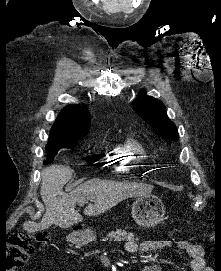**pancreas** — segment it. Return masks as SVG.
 Masks as SVG:
<instances>
[{"label": "pancreas", "mask_w": 221, "mask_h": 271, "mask_svg": "<svg viewBox=\"0 0 221 271\" xmlns=\"http://www.w3.org/2000/svg\"><path fill=\"white\" fill-rule=\"evenodd\" d=\"M127 231L124 229H116V231H110L107 233L106 237H102V242H134L138 241L139 239L136 237H127Z\"/></svg>", "instance_id": "pancreas-1"}]
</instances>
